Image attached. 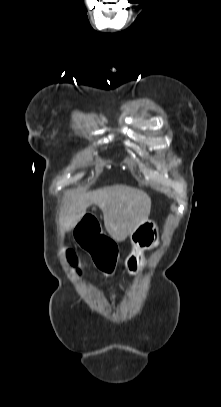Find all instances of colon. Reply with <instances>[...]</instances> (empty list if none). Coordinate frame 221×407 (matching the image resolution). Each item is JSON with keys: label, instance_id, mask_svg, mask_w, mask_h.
Returning <instances> with one entry per match:
<instances>
[{"label": "colon", "instance_id": "1", "mask_svg": "<svg viewBox=\"0 0 221 407\" xmlns=\"http://www.w3.org/2000/svg\"><path fill=\"white\" fill-rule=\"evenodd\" d=\"M82 225L72 231L73 239H80L82 245L90 251L96 266L109 274L113 271L117 253L114 243L102 236L98 216H82Z\"/></svg>", "mask_w": 221, "mask_h": 407}]
</instances>
